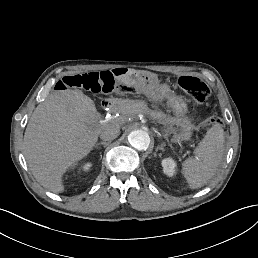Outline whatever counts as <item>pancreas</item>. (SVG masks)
Here are the masks:
<instances>
[{
	"instance_id": "1",
	"label": "pancreas",
	"mask_w": 258,
	"mask_h": 258,
	"mask_svg": "<svg viewBox=\"0 0 258 258\" xmlns=\"http://www.w3.org/2000/svg\"><path fill=\"white\" fill-rule=\"evenodd\" d=\"M109 118H114V113H109ZM173 134H174V131L170 127H168L165 134L168 141L172 140Z\"/></svg>"
}]
</instances>
